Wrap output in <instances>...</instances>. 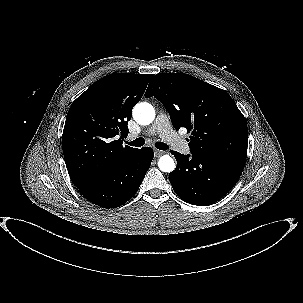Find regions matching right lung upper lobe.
I'll use <instances>...</instances> for the list:
<instances>
[{"instance_id":"cb5924a9","label":"right lung upper lobe","mask_w":303,"mask_h":303,"mask_svg":"<svg viewBox=\"0 0 303 303\" xmlns=\"http://www.w3.org/2000/svg\"><path fill=\"white\" fill-rule=\"evenodd\" d=\"M152 74L115 73L92 84L71 105L63 130L65 164L80 189L130 159L137 148L122 145L128 121ZM118 136H122L118 139Z\"/></svg>"}]
</instances>
